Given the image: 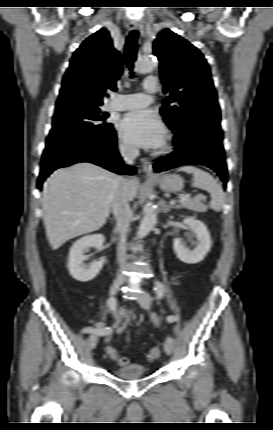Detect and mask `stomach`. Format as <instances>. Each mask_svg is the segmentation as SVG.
Returning a JSON list of instances; mask_svg holds the SVG:
<instances>
[{
    "mask_svg": "<svg viewBox=\"0 0 273 430\" xmlns=\"http://www.w3.org/2000/svg\"><path fill=\"white\" fill-rule=\"evenodd\" d=\"M153 179L166 192H179L183 188V180L177 174L158 175Z\"/></svg>",
    "mask_w": 273,
    "mask_h": 430,
    "instance_id": "stomach-1",
    "label": "stomach"
}]
</instances>
